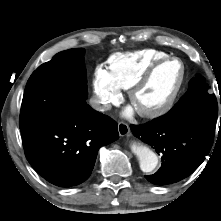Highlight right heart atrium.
<instances>
[{
	"label": "right heart atrium",
	"mask_w": 221,
	"mask_h": 221,
	"mask_svg": "<svg viewBox=\"0 0 221 221\" xmlns=\"http://www.w3.org/2000/svg\"><path fill=\"white\" fill-rule=\"evenodd\" d=\"M92 86L101 110H108L112 105L118 103L122 97L121 88L102 66L96 67L93 73Z\"/></svg>",
	"instance_id": "d8ad5b80"
}]
</instances>
